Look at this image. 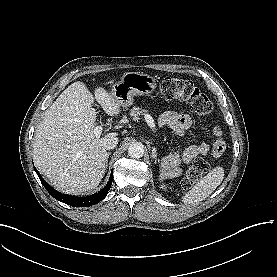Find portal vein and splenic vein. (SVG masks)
<instances>
[{
	"label": "portal vein and splenic vein",
	"instance_id": "18ae733b",
	"mask_svg": "<svg viewBox=\"0 0 277 277\" xmlns=\"http://www.w3.org/2000/svg\"><path fill=\"white\" fill-rule=\"evenodd\" d=\"M144 118H145V121L147 122L148 126L152 129V131L156 132L155 123H154V120H153L152 116L149 115V114H146L144 116ZM102 131H103V127L102 126H96L94 128V134H95V136H101Z\"/></svg>",
	"mask_w": 277,
	"mask_h": 277
}]
</instances>
